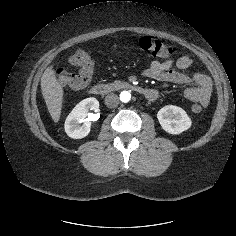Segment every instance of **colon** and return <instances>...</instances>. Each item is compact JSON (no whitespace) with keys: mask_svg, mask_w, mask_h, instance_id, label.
Returning <instances> with one entry per match:
<instances>
[{"mask_svg":"<svg viewBox=\"0 0 236 236\" xmlns=\"http://www.w3.org/2000/svg\"><path fill=\"white\" fill-rule=\"evenodd\" d=\"M139 47L144 53L157 58L170 59L175 54L173 47L149 37H143L139 41ZM69 62L78 68V72L70 73L65 70H58L56 72L58 82L72 89H79L86 86L91 81L93 75V59L87 53H77L69 57ZM192 111L194 113H200L202 106L200 104H194Z\"/></svg>","mask_w":236,"mask_h":236,"instance_id":"obj_1","label":"colon"}]
</instances>
